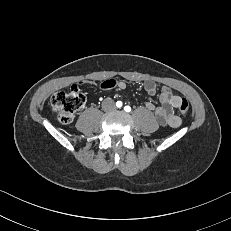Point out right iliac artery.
Listing matches in <instances>:
<instances>
[{
	"instance_id": "obj_1",
	"label": "right iliac artery",
	"mask_w": 231,
	"mask_h": 231,
	"mask_svg": "<svg viewBox=\"0 0 231 231\" xmlns=\"http://www.w3.org/2000/svg\"><path fill=\"white\" fill-rule=\"evenodd\" d=\"M116 106L117 107H121L122 106V102L121 101H117Z\"/></svg>"
}]
</instances>
